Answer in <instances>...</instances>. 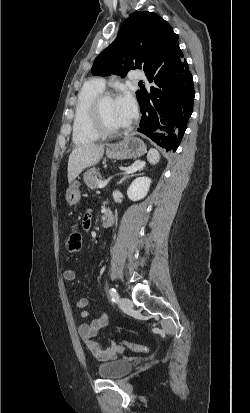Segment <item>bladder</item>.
Instances as JSON below:
<instances>
[{
    "label": "bladder",
    "mask_w": 250,
    "mask_h": 413,
    "mask_svg": "<svg viewBox=\"0 0 250 413\" xmlns=\"http://www.w3.org/2000/svg\"><path fill=\"white\" fill-rule=\"evenodd\" d=\"M133 368L131 361L127 359H114L98 366V375L106 379H118L127 375Z\"/></svg>",
    "instance_id": "bladder-1"
}]
</instances>
